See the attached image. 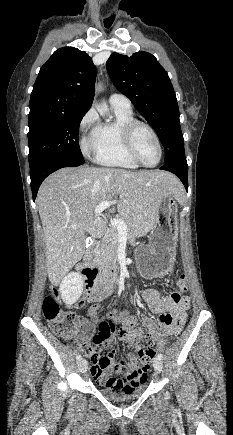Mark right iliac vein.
Masks as SVG:
<instances>
[{
	"instance_id": "obj_1",
	"label": "right iliac vein",
	"mask_w": 233,
	"mask_h": 435,
	"mask_svg": "<svg viewBox=\"0 0 233 435\" xmlns=\"http://www.w3.org/2000/svg\"><path fill=\"white\" fill-rule=\"evenodd\" d=\"M78 367L82 373H85L87 371V368H88L87 361L85 359H83L82 361L79 362Z\"/></svg>"
}]
</instances>
